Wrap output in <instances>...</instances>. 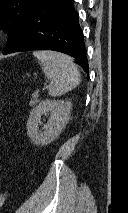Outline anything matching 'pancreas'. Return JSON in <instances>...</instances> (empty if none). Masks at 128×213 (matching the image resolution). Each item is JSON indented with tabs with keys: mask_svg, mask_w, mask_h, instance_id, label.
<instances>
[{
	"mask_svg": "<svg viewBox=\"0 0 128 213\" xmlns=\"http://www.w3.org/2000/svg\"><path fill=\"white\" fill-rule=\"evenodd\" d=\"M39 102V100L37 99V97H34L30 100L29 105L31 107L35 106L37 103Z\"/></svg>",
	"mask_w": 128,
	"mask_h": 213,
	"instance_id": "1",
	"label": "pancreas"
}]
</instances>
